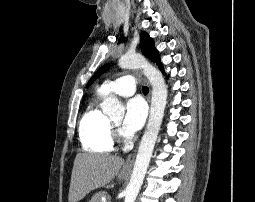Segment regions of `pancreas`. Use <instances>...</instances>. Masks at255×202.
Wrapping results in <instances>:
<instances>
[{"label": "pancreas", "instance_id": "1", "mask_svg": "<svg viewBox=\"0 0 255 202\" xmlns=\"http://www.w3.org/2000/svg\"><path fill=\"white\" fill-rule=\"evenodd\" d=\"M105 191H100L96 194H94L89 202H101V197L105 196Z\"/></svg>", "mask_w": 255, "mask_h": 202}]
</instances>
